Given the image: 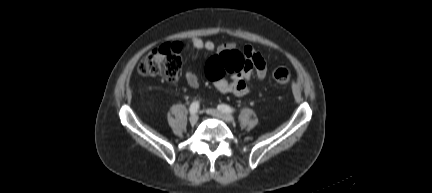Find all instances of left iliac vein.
Segmentation results:
<instances>
[{"label":"left iliac vein","mask_w":432,"mask_h":193,"mask_svg":"<svg viewBox=\"0 0 432 193\" xmlns=\"http://www.w3.org/2000/svg\"><path fill=\"white\" fill-rule=\"evenodd\" d=\"M207 113L226 122L234 121V117L231 114L224 113L218 109H208Z\"/></svg>","instance_id":"obj_1"}]
</instances>
